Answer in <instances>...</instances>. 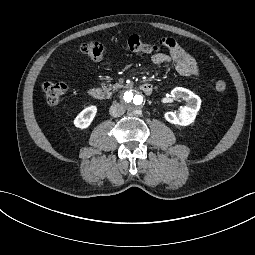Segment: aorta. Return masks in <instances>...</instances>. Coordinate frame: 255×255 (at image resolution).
Returning a JSON list of instances; mask_svg holds the SVG:
<instances>
[{"label": "aorta", "instance_id": "762f6f07", "mask_svg": "<svg viewBox=\"0 0 255 255\" xmlns=\"http://www.w3.org/2000/svg\"><path fill=\"white\" fill-rule=\"evenodd\" d=\"M124 103L132 109H138L143 106L145 99L137 90L131 89L123 95Z\"/></svg>", "mask_w": 255, "mask_h": 255}]
</instances>
